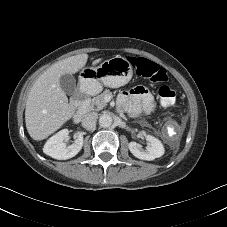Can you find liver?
<instances>
[{"mask_svg":"<svg viewBox=\"0 0 227 227\" xmlns=\"http://www.w3.org/2000/svg\"><path fill=\"white\" fill-rule=\"evenodd\" d=\"M88 54H79L49 67L33 84L25 109L26 128L34 140H43L57 131L75 113L68 103L66 93L60 87V77L75 74L87 63ZM102 59L93 61L98 64Z\"/></svg>","mask_w":227,"mask_h":227,"instance_id":"liver-1","label":"liver"}]
</instances>
